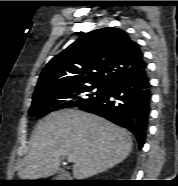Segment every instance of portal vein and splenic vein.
Wrapping results in <instances>:
<instances>
[{
	"label": "portal vein and splenic vein",
	"mask_w": 178,
	"mask_h": 186,
	"mask_svg": "<svg viewBox=\"0 0 178 186\" xmlns=\"http://www.w3.org/2000/svg\"><path fill=\"white\" fill-rule=\"evenodd\" d=\"M67 160H68L69 162H72V161H73L71 157H68Z\"/></svg>",
	"instance_id": "1"
}]
</instances>
